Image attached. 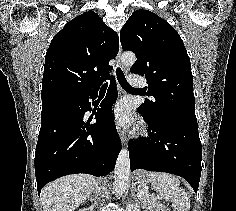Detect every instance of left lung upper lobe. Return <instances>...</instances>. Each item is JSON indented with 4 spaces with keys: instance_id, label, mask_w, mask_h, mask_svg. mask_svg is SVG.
Masks as SVG:
<instances>
[{
    "instance_id": "1",
    "label": "left lung upper lobe",
    "mask_w": 236,
    "mask_h": 211,
    "mask_svg": "<svg viewBox=\"0 0 236 211\" xmlns=\"http://www.w3.org/2000/svg\"><path fill=\"white\" fill-rule=\"evenodd\" d=\"M123 50L137 61L132 73L145 75L148 94L155 98L139 108L148 116L196 121L191 64L180 35L167 21L147 10H136L120 32Z\"/></svg>"
}]
</instances>
